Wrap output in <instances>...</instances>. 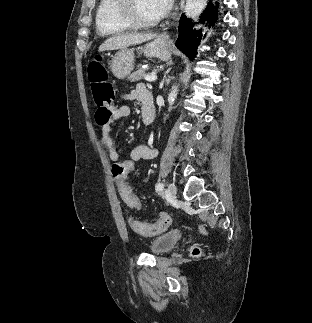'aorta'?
<instances>
[{"label": "aorta", "mask_w": 312, "mask_h": 323, "mask_svg": "<svg viewBox=\"0 0 312 323\" xmlns=\"http://www.w3.org/2000/svg\"><path fill=\"white\" fill-rule=\"evenodd\" d=\"M177 92H178L177 86H173L172 92H170V94H169L170 98H176Z\"/></svg>", "instance_id": "1"}]
</instances>
